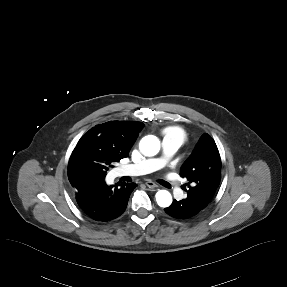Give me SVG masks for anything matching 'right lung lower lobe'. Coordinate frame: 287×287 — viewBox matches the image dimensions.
<instances>
[{
  "mask_svg": "<svg viewBox=\"0 0 287 287\" xmlns=\"http://www.w3.org/2000/svg\"><path fill=\"white\" fill-rule=\"evenodd\" d=\"M99 176H86L76 181L73 192L80 210L96 221H109L126 209L135 183L108 186ZM120 185V186H119Z\"/></svg>",
  "mask_w": 287,
  "mask_h": 287,
  "instance_id": "98d812e1",
  "label": "right lung lower lobe"
}]
</instances>
